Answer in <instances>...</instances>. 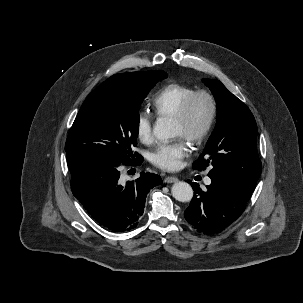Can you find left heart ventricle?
<instances>
[{
	"mask_svg": "<svg viewBox=\"0 0 303 303\" xmlns=\"http://www.w3.org/2000/svg\"><path fill=\"white\" fill-rule=\"evenodd\" d=\"M209 113V103L205 97H199L194 102L189 119L186 123L173 121L174 135L189 140L203 127Z\"/></svg>",
	"mask_w": 303,
	"mask_h": 303,
	"instance_id": "1",
	"label": "left heart ventricle"
}]
</instances>
